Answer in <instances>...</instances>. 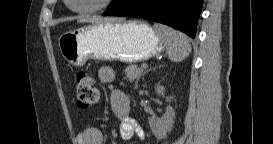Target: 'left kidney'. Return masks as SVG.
Segmentation results:
<instances>
[{
	"mask_svg": "<svg viewBox=\"0 0 273 144\" xmlns=\"http://www.w3.org/2000/svg\"><path fill=\"white\" fill-rule=\"evenodd\" d=\"M155 92L157 93V95H160L162 97L165 96V88L161 85H157L155 87ZM171 99L172 97H166L167 102H170ZM174 118L175 111L170 105L167 106L166 112L161 118H149V125L153 134L159 139L165 137L166 133L171 131V129L173 128Z\"/></svg>",
	"mask_w": 273,
	"mask_h": 144,
	"instance_id": "5707ae66",
	"label": "left kidney"
}]
</instances>
